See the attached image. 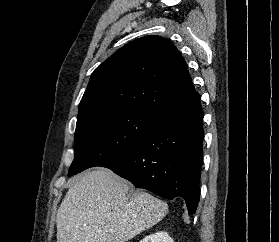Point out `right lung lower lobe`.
I'll list each match as a JSON object with an SVG mask.
<instances>
[{
    "label": "right lung lower lobe",
    "mask_w": 279,
    "mask_h": 242,
    "mask_svg": "<svg viewBox=\"0 0 279 242\" xmlns=\"http://www.w3.org/2000/svg\"><path fill=\"white\" fill-rule=\"evenodd\" d=\"M203 139V110L198 97L158 113L156 126L145 138L101 166L137 188L170 200L182 197L192 214L200 198Z\"/></svg>",
    "instance_id": "right-lung-lower-lobe-1"
}]
</instances>
